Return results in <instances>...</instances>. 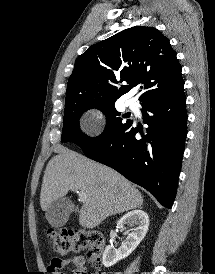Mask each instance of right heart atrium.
<instances>
[{"instance_id":"d8ad5b80","label":"right heart atrium","mask_w":215,"mask_h":274,"mask_svg":"<svg viewBox=\"0 0 215 274\" xmlns=\"http://www.w3.org/2000/svg\"><path fill=\"white\" fill-rule=\"evenodd\" d=\"M105 126L104 114L96 108L90 109L84 118L82 129L90 137L99 136Z\"/></svg>"}]
</instances>
